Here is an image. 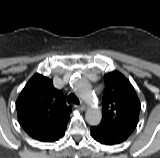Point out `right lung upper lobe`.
<instances>
[{
  "label": "right lung upper lobe",
  "instance_id": "right-lung-upper-lobe-1",
  "mask_svg": "<svg viewBox=\"0 0 160 158\" xmlns=\"http://www.w3.org/2000/svg\"><path fill=\"white\" fill-rule=\"evenodd\" d=\"M16 110L18 121L32 138L48 142L65 129L72 112L63 93L53 86V81L34 74L21 91Z\"/></svg>",
  "mask_w": 160,
  "mask_h": 158
}]
</instances>
